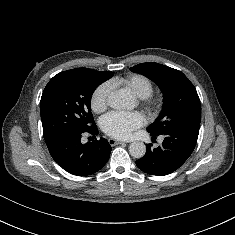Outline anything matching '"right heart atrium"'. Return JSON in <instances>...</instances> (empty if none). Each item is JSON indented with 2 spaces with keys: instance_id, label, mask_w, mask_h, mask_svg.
Segmentation results:
<instances>
[{
  "instance_id": "obj_1",
  "label": "right heart atrium",
  "mask_w": 235,
  "mask_h": 235,
  "mask_svg": "<svg viewBox=\"0 0 235 235\" xmlns=\"http://www.w3.org/2000/svg\"><path fill=\"white\" fill-rule=\"evenodd\" d=\"M111 92L112 87L108 82L102 83L95 88L90 99V106L93 112L101 113L106 110L109 105Z\"/></svg>"
}]
</instances>
